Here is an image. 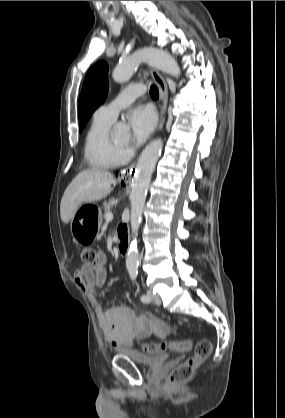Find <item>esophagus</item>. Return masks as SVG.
Instances as JSON below:
<instances>
[{
  "label": "esophagus",
  "mask_w": 285,
  "mask_h": 418,
  "mask_svg": "<svg viewBox=\"0 0 285 418\" xmlns=\"http://www.w3.org/2000/svg\"><path fill=\"white\" fill-rule=\"evenodd\" d=\"M149 71L160 93L161 107H160L159 124L157 127V129L160 130L163 128L165 119H166V104L168 101V87L163 76L157 70L153 68H149ZM133 168H134V164L131 167H129V169H133Z\"/></svg>",
  "instance_id": "1"
}]
</instances>
